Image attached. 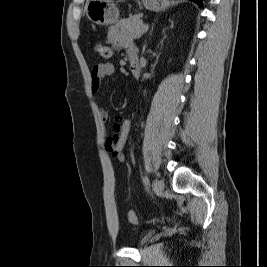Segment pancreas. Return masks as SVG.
I'll list each match as a JSON object with an SVG mask.
<instances>
[{"instance_id": "pancreas-1", "label": "pancreas", "mask_w": 267, "mask_h": 267, "mask_svg": "<svg viewBox=\"0 0 267 267\" xmlns=\"http://www.w3.org/2000/svg\"><path fill=\"white\" fill-rule=\"evenodd\" d=\"M141 17V14H137L123 20L121 24L122 31L133 39L140 38L143 34L144 26Z\"/></svg>"}]
</instances>
